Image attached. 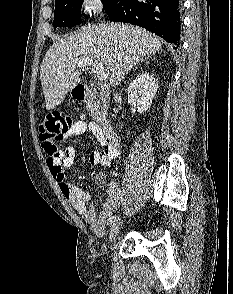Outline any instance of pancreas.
Returning <instances> with one entry per match:
<instances>
[{
  "instance_id": "pancreas-1",
  "label": "pancreas",
  "mask_w": 233,
  "mask_h": 294,
  "mask_svg": "<svg viewBox=\"0 0 233 294\" xmlns=\"http://www.w3.org/2000/svg\"><path fill=\"white\" fill-rule=\"evenodd\" d=\"M87 109L94 120L101 121L102 115L106 111V106H101V104L98 101L89 100L87 102Z\"/></svg>"
}]
</instances>
